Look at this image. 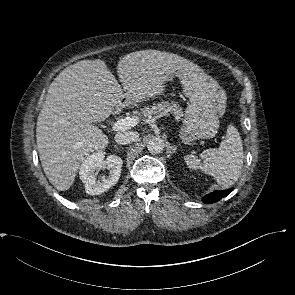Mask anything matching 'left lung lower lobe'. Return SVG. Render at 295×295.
<instances>
[{
    "mask_svg": "<svg viewBox=\"0 0 295 295\" xmlns=\"http://www.w3.org/2000/svg\"><path fill=\"white\" fill-rule=\"evenodd\" d=\"M232 192V189L223 190V191H214L203 198V201L207 204L215 203L222 199L223 197L227 196Z\"/></svg>",
    "mask_w": 295,
    "mask_h": 295,
    "instance_id": "1",
    "label": "left lung lower lobe"
}]
</instances>
